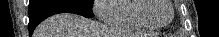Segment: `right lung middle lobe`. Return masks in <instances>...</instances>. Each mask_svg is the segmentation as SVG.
I'll return each instance as SVG.
<instances>
[{"mask_svg": "<svg viewBox=\"0 0 219 37\" xmlns=\"http://www.w3.org/2000/svg\"><path fill=\"white\" fill-rule=\"evenodd\" d=\"M30 1H35V0H30ZM79 2L86 4L88 6H92V0H79Z\"/></svg>", "mask_w": 219, "mask_h": 37, "instance_id": "1", "label": "right lung middle lobe"}]
</instances>
